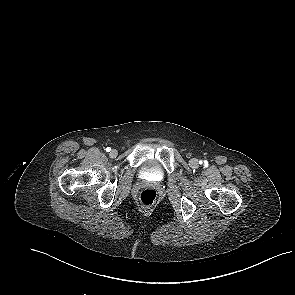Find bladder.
<instances>
[{
    "instance_id": "31cf9c89",
    "label": "bladder",
    "mask_w": 295,
    "mask_h": 295,
    "mask_svg": "<svg viewBox=\"0 0 295 295\" xmlns=\"http://www.w3.org/2000/svg\"><path fill=\"white\" fill-rule=\"evenodd\" d=\"M142 171L146 174H155L158 176L162 174L159 164L154 160H146L142 164Z\"/></svg>"
}]
</instances>
